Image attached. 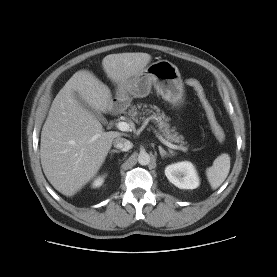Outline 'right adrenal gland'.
Instances as JSON below:
<instances>
[{"label": "right adrenal gland", "instance_id": "2a0ac1e0", "mask_svg": "<svg viewBox=\"0 0 277 277\" xmlns=\"http://www.w3.org/2000/svg\"><path fill=\"white\" fill-rule=\"evenodd\" d=\"M110 153H111V156H112L114 153H120V151L113 149V150L110 151Z\"/></svg>", "mask_w": 277, "mask_h": 277}]
</instances>
